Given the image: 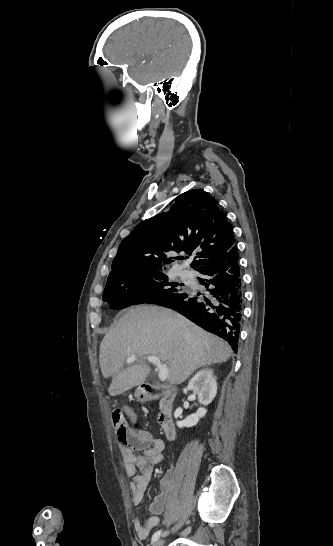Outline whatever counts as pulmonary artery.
Wrapping results in <instances>:
<instances>
[{
    "mask_svg": "<svg viewBox=\"0 0 333 546\" xmlns=\"http://www.w3.org/2000/svg\"><path fill=\"white\" fill-rule=\"evenodd\" d=\"M179 276L184 281H191L193 279V274L191 271L187 269H183L180 271Z\"/></svg>",
    "mask_w": 333,
    "mask_h": 546,
    "instance_id": "e3ab8cb5",
    "label": "pulmonary artery"
}]
</instances>
